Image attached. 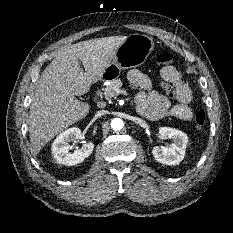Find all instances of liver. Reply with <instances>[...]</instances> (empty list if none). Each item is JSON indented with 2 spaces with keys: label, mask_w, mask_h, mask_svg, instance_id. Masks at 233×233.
Listing matches in <instances>:
<instances>
[{
  "label": "liver",
  "mask_w": 233,
  "mask_h": 233,
  "mask_svg": "<svg viewBox=\"0 0 233 233\" xmlns=\"http://www.w3.org/2000/svg\"><path fill=\"white\" fill-rule=\"evenodd\" d=\"M126 38L110 36L64 47L46 67L30 106L29 134L33 155L61 131L87 116L90 105L75 96L86 94L91 85L102 78Z\"/></svg>",
  "instance_id": "6515ba94"
}]
</instances>
